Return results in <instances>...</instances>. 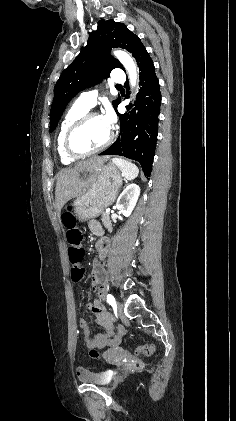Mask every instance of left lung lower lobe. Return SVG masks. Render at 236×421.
<instances>
[{
    "label": "left lung lower lobe",
    "instance_id": "0a47b994",
    "mask_svg": "<svg viewBox=\"0 0 236 421\" xmlns=\"http://www.w3.org/2000/svg\"><path fill=\"white\" fill-rule=\"evenodd\" d=\"M133 57L140 70V89L135 108L130 115L119 114L116 109L120 119V136L99 155H120L136 160L141 164L145 176H150L158 135L161 93L153 61L143 44Z\"/></svg>",
    "mask_w": 236,
    "mask_h": 421
}]
</instances>
